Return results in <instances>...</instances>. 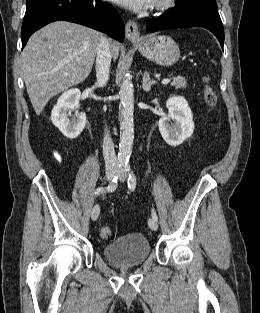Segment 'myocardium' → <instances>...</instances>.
Segmentation results:
<instances>
[{"label": "myocardium", "instance_id": "myocardium-1", "mask_svg": "<svg viewBox=\"0 0 260 313\" xmlns=\"http://www.w3.org/2000/svg\"><path fill=\"white\" fill-rule=\"evenodd\" d=\"M174 0H155L153 7L158 11H164L173 5Z\"/></svg>", "mask_w": 260, "mask_h": 313}]
</instances>
